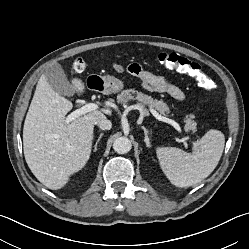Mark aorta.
<instances>
[{
  "instance_id": "obj_1",
  "label": "aorta",
  "mask_w": 249,
  "mask_h": 249,
  "mask_svg": "<svg viewBox=\"0 0 249 249\" xmlns=\"http://www.w3.org/2000/svg\"><path fill=\"white\" fill-rule=\"evenodd\" d=\"M132 148V144L129 138L122 136L118 137L113 142V149L118 154H126L128 153Z\"/></svg>"
}]
</instances>
